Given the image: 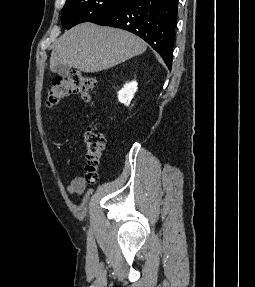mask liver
Returning a JSON list of instances; mask_svg holds the SVG:
<instances>
[{"mask_svg": "<svg viewBox=\"0 0 255 287\" xmlns=\"http://www.w3.org/2000/svg\"><path fill=\"white\" fill-rule=\"evenodd\" d=\"M50 58V70L55 66H69L80 72H100L117 66L147 48L138 36L95 24H79L65 32L56 42Z\"/></svg>", "mask_w": 255, "mask_h": 287, "instance_id": "1", "label": "liver"}]
</instances>
